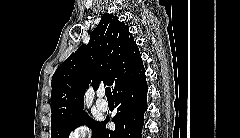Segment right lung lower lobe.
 <instances>
[{
	"label": "right lung lower lobe",
	"instance_id": "98d812e1",
	"mask_svg": "<svg viewBox=\"0 0 240 138\" xmlns=\"http://www.w3.org/2000/svg\"><path fill=\"white\" fill-rule=\"evenodd\" d=\"M147 83L145 74L120 87L115 93L117 114L113 117L114 131L105 128L107 120L101 122L93 138H140L147 109Z\"/></svg>",
	"mask_w": 240,
	"mask_h": 138
}]
</instances>
